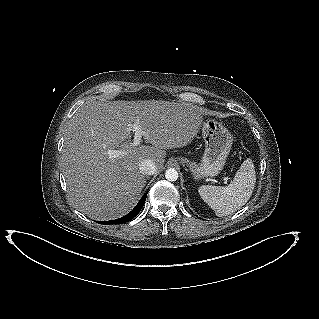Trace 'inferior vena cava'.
Listing matches in <instances>:
<instances>
[{
	"label": "inferior vena cava",
	"mask_w": 319,
	"mask_h": 319,
	"mask_svg": "<svg viewBox=\"0 0 319 319\" xmlns=\"http://www.w3.org/2000/svg\"><path fill=\"white\" fill-rule=\"evenodd\" d=\"M139 169L144 175H153L157 171L155 163L150 159H144L139 164Z\"/></svg>",
	"instance_id": "inferior-vena-cava-1"
}]
</instances>
